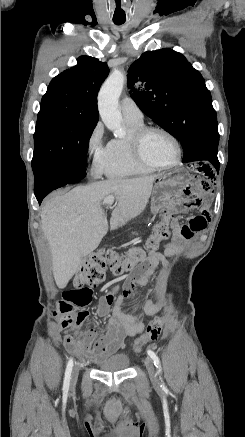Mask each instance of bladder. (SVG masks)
<instances>
[{
  "instance_id": "31cf9c89",
  "label": "bladder",
  "mask_w": 245,
  "mask_h": 437,
  "mask_svg": "<svg viewBox=\"0 0 245 437\" xmlns=\"http://www.w3.org/2000/svg\"><path fill=\"white\" fill-rule=\"evenodd\" d=\"M130 358L125 353L113 355L98 363V369L105 372H117L128 369Z\"/></svg>"
}]
</instances>
